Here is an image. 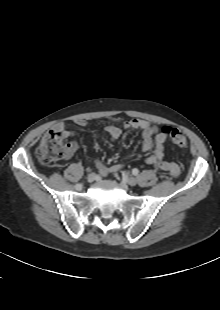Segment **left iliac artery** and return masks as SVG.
Returning <instances> with one entry per match:
<instances>
[{
	"label": "left iliac artery",
	"instance_id": "1",
	"mask_svg": "<svg viewBox=\"0 0 220 310\" xmlns=\"http://www.w3.org/2000/svg\"><path fill=\"white\" fill-rule=\"evenodd\" d=\"M132 173H133L134 175H137V174L139 173V170H138L137 168H134V169L132 170Z\"/></svg>",
	"mask_w": 220,
	"mask_h": 310
}]
</instances>
